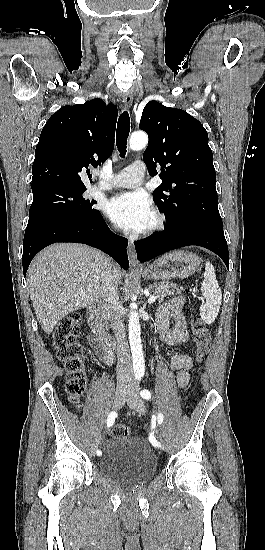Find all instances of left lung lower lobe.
<instances>
[{
    "instance_id": "obj_1",
    "label": "left lung lower lobe",
    "mask_w": 265,
    "mask_h": 550,
    "mask_svg": "<svg viewBox=\"0 0 265 550\" xmlns=\"http://www.w3.org/2000/svg\"><path fill=\"white\" fill-rule=\"evenodd\" d=\"M137 258L140 262L165 253L169 250L197 245L205 247L221 257L229 267L228 246L223 227L199 220H185L175 225L165 227L161 233L134 242Z\"/></svg>"
}]
</instances>
